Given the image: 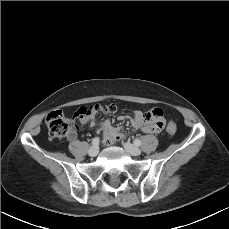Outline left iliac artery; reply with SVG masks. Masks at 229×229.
<instances>
[{
    "label": "left iliac artery",
    "mask_w": 229,
    "mask_h": 229,
    "mask_svg": "<svg viewBox=\"0 0 229 229\" xmlns=\"http://www.w3.org/2000/svg\"><path fill=\"white\" fill-rule=\"evenodd\" d=\"M134 145L140 146L141 145V141L139 139H135L134 140Z\"/></svg>",
    "instance_id": "44dca946"
}]
</instances>
